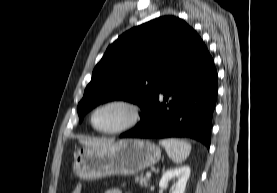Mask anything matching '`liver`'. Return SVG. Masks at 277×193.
<instances>
[{
	"label": "liver",
	"mask_w": 277,
	"mask_h": 193,
	"mask_svg": "<svg viewBox=\"0 0 277 193\" xmlns=\"http://www.w3.org/2000/svg\"><path fill=\"white\" fill-rule=\"evenodd\" d=\"M80 143L85 145L86 147L101 148L111 143V141H107L103 139H90V140L83 139V140H80Z\"/></svg>",
	"instance_id": "1"
}]
</instances>
